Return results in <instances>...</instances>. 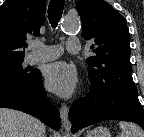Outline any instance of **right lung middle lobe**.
<instances>
[{
    "label": "right lung middle lobe",
    "mask_w": 144,
    "mask_h": 137,
    "mask_svg": "<svg viewBox=\"0 0 144 137\" xmlns=\"http://www.w3.org/2000/svg\"><path fill=\"white\" fill-rule=\"evenodd\" d=\"M18 60L4 67H0V84L13 83L26 85L36 80L39 76L38 70L23 68Z\"/></svg>",
    "instance_id": "right-lung-middle-lobe-1"
}]
</instances>
